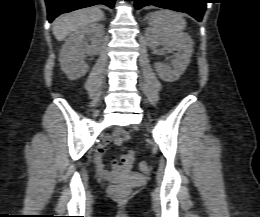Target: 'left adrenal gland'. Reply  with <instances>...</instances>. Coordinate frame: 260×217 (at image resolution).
<instances>
[{
    "instance_id": "a2214340",
    "label": "left adrenal gland",
    "mask_w": 260,
    "mask_h": 217,
    "mask_svg": "<svg viewBox=\"0 0 260 217\" xmlns=\"http://www.w3.org/2000/svg\"><path fill=\"white\" fill-rule=\"evenodd\" d=\"M144 20H148V16H146Z\"/></svg>"
}]
</instances>
